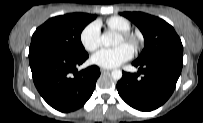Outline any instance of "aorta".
Listing matches in <instances>:
<instances>
[{"instance_id":"aorta-1","label":"aorta","mask_w":203,"mask_h":123,"mask_svg":"<svg viewBox=\"0 0 203 123\" xmlns=\"http://www.w3.org/2000/svg\"><path fill=\"white\" fill-rule=\"evenodd\" d=\"M101 42L105 47L115 45L118 42V36L110 31L104 32L101 36ZM112 78L114 80H120L122 78V71L119 69L113 70Z\"/></svg>"}]
</instances>
